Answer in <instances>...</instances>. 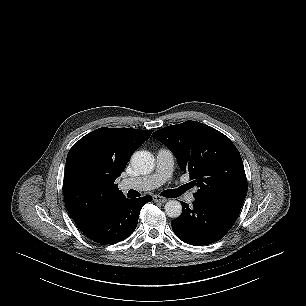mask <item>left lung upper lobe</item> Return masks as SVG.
Returning <instances> with one entry per match:
<instances>
[{
	"mask_svg": "<svg viewBox=\"0 0 306 306\" xmlns=\"http://www.w3.org/2000/svg\"><path fill=\"white\" fill-rule=\"evenodd\" d=\"M152 136L189 172L190 184L198 187L196 200L242 206L248 189L246 175L240 153L227 136L196 121L162 128Z\"/></svg>",
	"mask_w": 306,
	"mask_h": 306,
	"instance_id": "5c2ea615",
	"label": "left lung upper lobe"
}]
</instances>
